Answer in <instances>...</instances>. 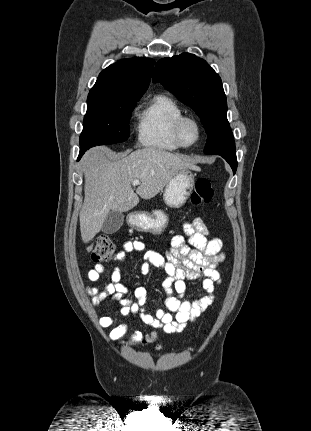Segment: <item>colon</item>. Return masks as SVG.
Segmentation results:
<instances>
[{
    "label": "colon",
    "instance_id": "1",
    "mask_svg": "<svg viewBox=\"0 0 311 431\" xmlns=\"http://www.w3.org/2000/svg\"><path fill=\"white\" fill-rule=\"evenodd\" d=\"M213 187L211 182L204 177L196 179L194 189L191 195L192 203L201 205L209 203L213 198ZM115 253V245L108 236L98 238L96 246L92 252V260L94 262L108 261Z\"/></svg>",
    "mask_w": 311,
    "mask_h": 431
}]
</instances>
